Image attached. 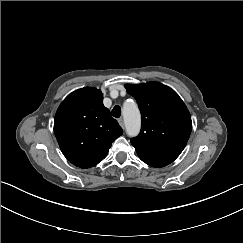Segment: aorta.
I'll return each mask as SVG.
<instances>
[{
    "instance_id": "1",
    "label": "aorta",
    "mask_w": 243,
    "mask_h": 243,
    "mask_svg": "<svg viewBox=\"0 0 243 243\" xmlns=\"http://www.w3.org/2000/svg\"><path fill=\"white\" fill-rule=\"evenodd\" d=\"M123 118L127 133L135 135L140 129V114L135 103L127 102L123 108Z\"/></svg>"
}]
</instances>
